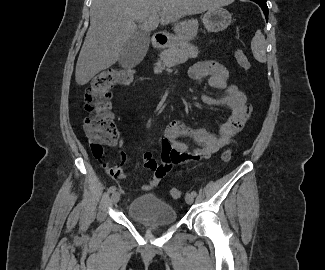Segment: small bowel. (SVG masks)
<instances>
[{
    "label": "small bowel",
    "instance_id": "small-bowel-1",
    "mask_svg": "<svg viewBox=\"0 0 325 270\" xmlns=\"http://www.w3.org/2000/svg\"><path fill=\"white\" fill-rule=\"evenodd\" d=\"M189 76L197 85L207 80L210 87L223 90L225 95L222 98L202 94L200 99L206 105L226 106L231 110V114L220 125L217 134L205 128L190 126L181 120L171 121L164 130L161 140L163 163L158 164L151 152L143 153V165L152 171L153 175L148 183L140 187L142 191L155 188L173 166L211 157L230 143L249 117L251 107L247 105L244 93L236 85L229 83L228 72L224 66L211 61L198 62L190 68ZM97 160L115 180L120 182L124 180L125 172L122 166L108 167L103 157ZM120 160L122 165L129 163L124 153H120Z\"/></svg>",
    "mask_w": 325,
    "mask_h": 270
}]
</instances>
